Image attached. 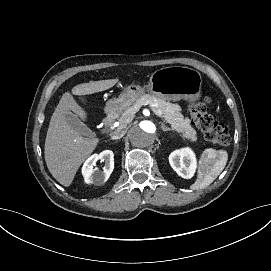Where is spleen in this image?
Returning <instances> with one entry per match:
<instances>
[{"instance_id":"3e777b00","label":"spleen","mask_w":271,"mask_h":271,"mask_svg":"<svg viewBox=\"0 0 271 271\" xmlns=\"http://www.w3.org/2000/svg\"><path fill=\"white\" fill-rule=\"evenodd\" d=\"M227 160L226 151L207 149L200 159L197 180L190 188L198 190L209 186L223 171Z\"/></svg>"}]
</instances>
